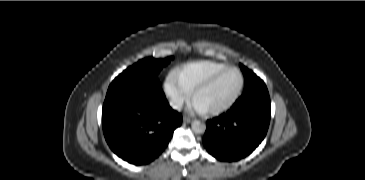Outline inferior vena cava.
<instances>
[{
    "mask_svg": "<svg viewBox=\"0 0 365 180\" xmlns=\"http://www.w3.org/2000/svg\"><path fill=\"white\" fill-rule=\"evenodd\" d=\"M183 98L182 97H175V98H172L170 101H169V104L170 106L173 108V109H176V110H181L182 109V106H183Z\"/></svg>",
    "mask_w": 365,
    "mask_h": 180,
    "instance_id": "obj_1",
    "label": "inferior vena cava"
}]
</instances>
